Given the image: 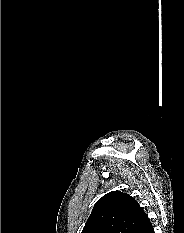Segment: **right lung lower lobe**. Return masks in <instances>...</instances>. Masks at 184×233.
Instances as JSON below:
<instances>
[{"label":"right lung lower lobe","instance_id":"98d812e1","mask_svg":"<svg viewBox=\"0 0 184 233\" xmlns=\"http://www.w3.org/2000/svg\"><path fill=\"white\" fill-rule=\"evenodd\" d=\"M135 233H154V229H153V226H152L150 220L148 219L143 225H141L135 231Z\"/></svg>","mask_w":184,"mask_h":233}]
</instances>
